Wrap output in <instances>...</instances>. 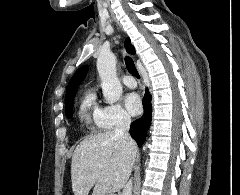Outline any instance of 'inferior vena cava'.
<instances>
[{
	"label": "inferior vena cava",
	"instance_id": "obj_1",
	"mask_svg": "<svg viewBox=\"0 0 240 195\" xmlns=\"http://www.w3.org/2000/svg\"><path fill=\"white\" fill-rule=\"evenodd\" d=\"M130 123V115H128V113H122L115 127V137L124 139L125 143H129V145H131V143L134 141L131 135H129ZM123 195H132V179H129V181H127L123 189Z\"/></svg>",
	"mask_w": 240,
	"mask_h": 195
}]
</instances>
